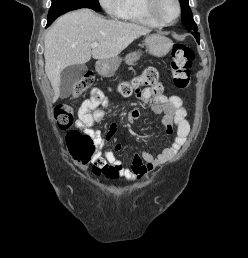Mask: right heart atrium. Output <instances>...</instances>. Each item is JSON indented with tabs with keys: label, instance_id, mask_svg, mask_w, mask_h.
<instances>
[{
	"label": "right heart atrium",
	"instance_id": "d8ad5b80",
	"mask_svg": "<svg viewBox=\"0 0 248 258\" xmlns=\"http://www.w3.org/2000/svg\"><path fill=\"white\" fill-rule=\"evenodd\" d=\"M102 8L111 17H120L124 7V0H98Z\"/></svg>",
	"mask_w": 248,
	"mask_h": 258
}]
</instances>
